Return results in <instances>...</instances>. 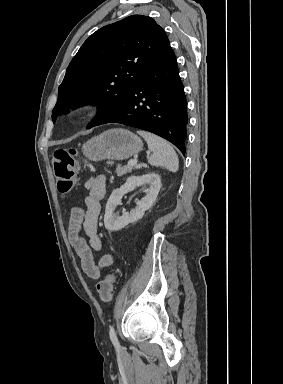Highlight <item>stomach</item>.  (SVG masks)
I'll use <instances>...</instances> for the list:
<instances>
[{"label":"stomach","mask_w":283,"mask_h":384,"mask_svg":"<svg viewBox=\"0 0 283 384\" xmlns=\"http://www.w3.org/2000/svg\"><path fill=\"white\" fill-rule=\"evenodd\" d=\"M142 140L121 128H113L95 136L82 146L85 158L92 162L100 160H127L142 150Z\"/></svg>","instance_id":"0dacf381"}]
</instances>
